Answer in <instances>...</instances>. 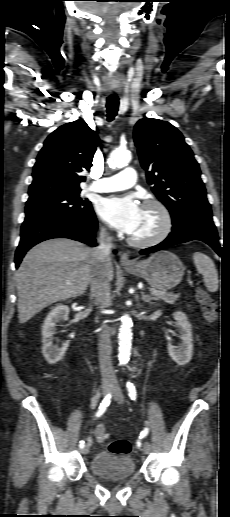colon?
I'll return each mask as SVG.
<instances>
[{"mask_svg":"<svg viewBox=\"0 0 230 517\" xmlns=\"http://www.w3.org/2000/svg\"><path fill=\"white\" fill-rule=\"evenodd\" d=\"M195 297L207 323H215L218 318V308L215 301L201 287H197ZM105 439L106 432L104 429H100L97 434V440L100 442H104ZM108 449L113 454H128L131 451V443L127 439L114 440L111 443H109Z\"/></svg>","mask_w":230,"mask_h":517,"instance_id":"5ec220e1","label":"colon"}]
</instances>
